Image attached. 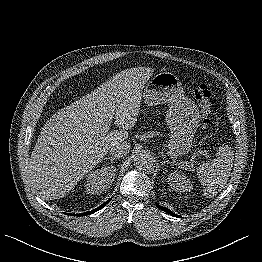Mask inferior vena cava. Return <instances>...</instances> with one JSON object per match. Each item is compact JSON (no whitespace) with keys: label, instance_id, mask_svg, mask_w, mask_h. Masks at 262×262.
<instances>
[{"label":"inferior vena cava","instance_id":"1","mask_svg":"<svg viewBox=\"0 0 262 262\" xmlns=\"http://www.w3.org/2000/svg\"><path fill=\"white\" fill-rule=\"evenodd\" d=\"M129 150L130 144L127 141H119L111 146L110 153L116 158H121L126 156Z\"/></svg>","mask_w":262,"mask_h":262}]
</instances>
